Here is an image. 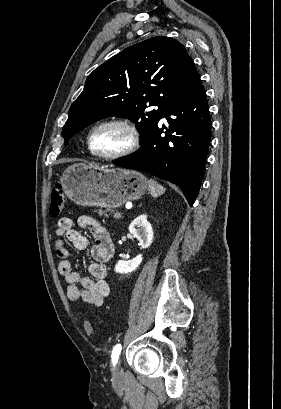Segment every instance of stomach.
Returning a JSON list of instances; mask_svg holds the SVG:
<instances>
[{
  "label": "stomach",
  "instance_id": "1",
  "mask_svg": "<svg viewBox=\"0 0 281 409\" xmlns=\"http://www.w3.org/2000/svg\"><path fill=\"white\" fill-rule=\"evenodd\" d=\"M60 184L76 205L105 209H117L127 200H137L148 188V180L138 170L86 162H74L65 168Z\"/></svg>",
  "mask_w": 281,
  "mask_h": 409
}]
</instances>
